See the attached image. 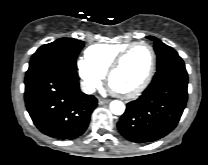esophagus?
I'll return each mask as SVG.
<instances>
[{
	"mask_svg": "<svg viewBox=\"0 0 208 165\" xmlns=\"http://www.w3.org/2000/svg\"><path fill=\"white\" fill-rule=\"evenodd\" d=\"M108 102H109V100H107V99L99 98V104H100V105L107 104Z\"/></svg>",
	"mask_w": 208,
	"mask_h": 165,
	"instance_id": "esophagus-1",
	"label": "esophagus"
}]
</instances>
